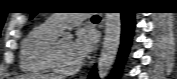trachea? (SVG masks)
Listing matches in <instances>:
<instances>
[{
    "label": "trachea",
    "mask_w": 177,
    "mask_h": 79,
    "mask_svg": "<svg viewBox=\"0 0 177 79\" xmlns=\"http://www.w3.org/2000/svg\"><path fill=\"white\" fill-rule=\"evenodd\" d=\"M92 20H93V21L100 20V17H99V16H97V15H94V16L92 17Z\"/></svg>",
    "instance_id": "trachea-1"
}]
</instances>
